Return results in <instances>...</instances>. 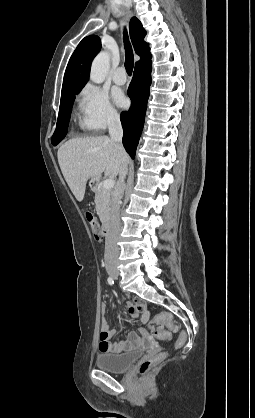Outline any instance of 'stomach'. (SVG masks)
Returning <instances> with one entry per match:
<instances>
[{
    "instance_id": "0dacf381",
    "label": "stomach",
    "mask_w": 255,
    "mask_h": 418,
    "mask_svg": "<svg viewBox=\"0 0 255 418\" xmlns=\"http://www.w3.org/2000/svg\"><path fill=\"white\" fill-rule=\"evenodd\" d=\"M97 183V178H92L90 181V185L94 186Z\"/></svg>"
}]
</instances>
